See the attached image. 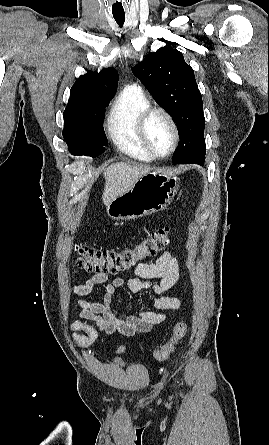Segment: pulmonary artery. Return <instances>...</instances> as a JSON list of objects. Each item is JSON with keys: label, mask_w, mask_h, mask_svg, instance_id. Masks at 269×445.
I'll list each match as a JSON object with an SVG mask.
<instances>
[{"label": "pulmonary artery", "mask_w": 269, "mask_h": 445, "mask_svg": "<svg viewBox=\"0 0 269 445\" xmlns=\"http://www.w3.org/2000/svg\"><path fill=\"white\" fill-rule=\"evenodd\" d=\"M133 87H136V88H138L137 86H135V85H133Z\"/></svg>", "instance_id": "pulmonary-artery-1"}]
</instances>
